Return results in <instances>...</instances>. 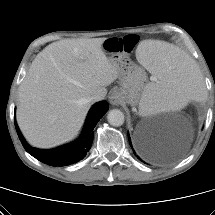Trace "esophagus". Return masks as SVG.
Returning <instances> with one entry per match:
<instances>
[{
    "mask_svg": "<svg viewBox=\"0 0 215 215\" xmlns=\"http://www.w3.org/2000/svg\"><path fill=\"white\" fill-rule=\"evenodd\" d=\"M109 101L112 105H119L122 102V95L119 91L114 90L109 96Z\"/></svg>",
    "mask_w": 215,
    "mask_h": 215,
    "instance_id": "esophagus-1",
    "label": "esophagus"
}]
</instances>
